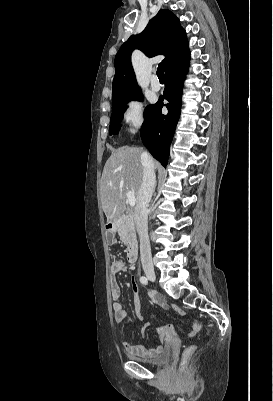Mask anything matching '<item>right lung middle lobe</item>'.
Returning <instances> with one entry per match:
<instances>
[{"label":"right lung middle lobe","mask_w":273,"mask_h":401,"mask_svg":"<svg viewBox=\"0 0 273 401\" xmlns=\"http://www.w3.org/2000/svg\"><path fill=\"white\" fill-rule=\"evenodd\" d=\"M142 99H143L142 94H138V95H135V96H132V97L126 99L120 105H118L116 107H112L113 113L111 115V122L110 123L113 126H116L117 124H119L121 122V120L123 119L124 111L126 110V104L129 101H131V100H139V101H141ZM151 108H152V105L147 106V108H146V110L144 112L145 121L143 123L142 128H144L149 122ZM113 131H114V133H117L118 128H112L110 126V135L113 134Z\"/></svg>","instance_id":"dd1d6c3e"}]
</instances>
